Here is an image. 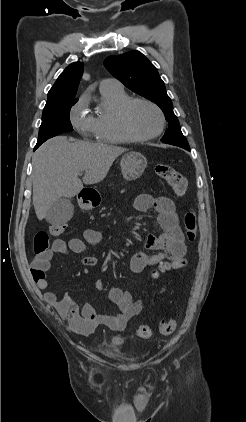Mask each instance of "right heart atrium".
Segmentation results:
<instances>
[{
    "label": "right heart atrium",
    "instance_id": "d8ad5b80",
    "mask_svg": "<svg viewBox=\"0 0 246 422\" xmlns=\"http://www.w3.org/2000/svg\"><path fill=\"white\" fill-rule=\"evenodd\" d=\"M70 122L80 134L84 136L94 134V118L87 113L84 99H79L71 108Z\"/></svg>",
    "mask_w": 246,
    "mask_h": 422
}]
</instances>
